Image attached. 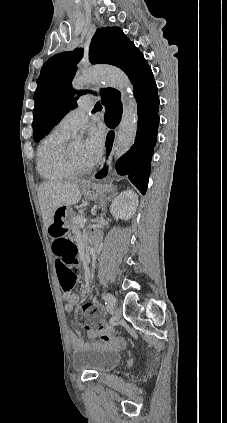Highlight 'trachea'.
<instances>
[{"label": "trachea", "instance_id": "trachea-1", "mask_svg": "<svg viewBox=\"0 0 227 423\" xmlns=\"http://www.w3.org/2000/svg\"><path fill=\"white\" fill-rule=\"evenodd\" d=\"M101 110H102V106H101L100 102H97L95 104L94 111H101Z\"/></svg>", "mask_w": 227, "mask_h": 423}]
</instances>
